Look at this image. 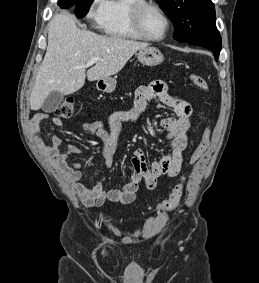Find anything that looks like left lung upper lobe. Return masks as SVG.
<instances>
[{
	"label": "left lung upper lobe",
	"instance_id": "obj_1",
	"mask_svg": "<svg viewBox=\"0 0 259 283\" xmlns=\"http://www.w3.org/2000/svg\"><path fill=\"white\" fill-rule=\"evenodd\" d=\"M174 23L179 42L210 39L219 35L211 0H156Z\"/></svg>",
	"mask_w": 259,
	"mask_h": 283
}]
</instances>
